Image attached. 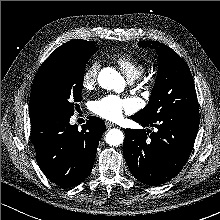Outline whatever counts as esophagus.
Segmentation results:
<instances>
[{
  "label": "esophagus",
  "instance_id": "obj_1",
  "mask_svg": "<svg viewBox=\"0 0 220 220\" xmlns=\"http://www.w3.org/2000/svg\"><path fill=\"white\" fill-rule=\"evenodd\" d=\"M105 124H106V127H107V128H111V127H114V126H115L114 123L109 122V121H106Z\"/></svg>",
  "mask_w": 220,
  "mask_h": 220
}]
</instances>
